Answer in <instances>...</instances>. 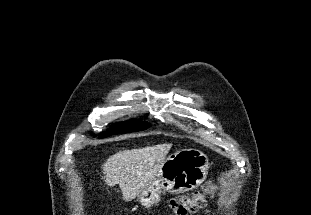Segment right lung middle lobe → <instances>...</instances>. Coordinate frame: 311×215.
<instances>
[{
	"label": "right lung middle lobe",
	"instance_id": "1",
	"mask_svg": "<svg viewBox=\"0 0 311 215\" xmlns=\"http://www.w3.org/2000/svg\"><path fill=\"white\" fill-rule=\"evenodd\" d=\"M149 126L150 125L148 123L134 119V120L127 121V122H121V123L114 124L109 131L101 133L99 137L105 138L110 135L142 131V130L147 129Z\"/></svg>",
	"mask_w": 311,
	"mask_h": 215
}]
</instances>
